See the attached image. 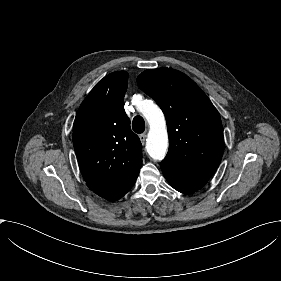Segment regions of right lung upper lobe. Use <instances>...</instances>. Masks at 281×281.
<instances>
[{
    "mask_svg": "<svg viewBox=\"0 0 281 281\" xmlns=\"http://www.w3.org/2000/svg\"><path fill=\"white\" fill-rule=\"evenodd\" d=\"M127 81L125 71L104 77L80 105L73 125L82 176L105 199L142 165V145L123 107Z\"/></svg>",
    "mask_w": 281,
    "mask_h": 281,
    "instance_id": "obj_1",
    "label": "right lung upper lobe"
}]
</instances>
